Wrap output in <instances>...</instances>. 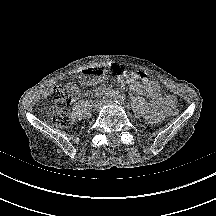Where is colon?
<instances>
[{
	"instance_id": "1",
	"label": "colon",
	"mask_w": 216,
	"mask_h": 216,
	"mask_svg": "<svg viewBox=\"0 0 216 216\" xmlns=\"http://www.w3.org/2000/svg\"><path fill=\"white\" fill-rule=\"evenodd\" d=\"M77 92V86L74 84H68L66 86L57 85L53 87L48 98L51 102V106L48 111L51 115L52 122L61 128H67L72 125L73 119L68 111L70 102L75 98ZM168 114L172 117H176L179 114L176 102L169 108Z\"/></svg>"
}]
</instances>
